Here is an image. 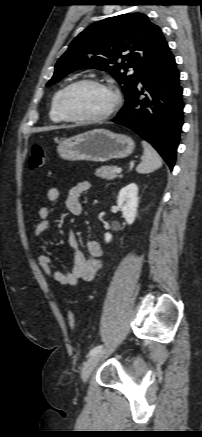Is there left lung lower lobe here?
Listing matches in <instances>:
<instances>
[{
  "mask_svg": "<svg viewBox=\"0 0 202 437\" xmlns=\"http://www.w3.org/2000/svg\"><path fill=\"white\" fill-rule=\"evenodd\" d=\"M114 119L147 140L163 157L170 169L176 160L183 125L180 73L169 47L142 76Z\"/></svg>",
  "mask_w": 202,
  "mask_h": 437,
  "instance_id": "1",
  "label": "left lung lower lobe"
}]
</instances>
